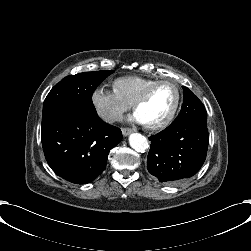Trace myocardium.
Wrapping results in <instances>:
<instances>
[{"mask_svg": "<svg viewBox=\"0 0 251 251\" xmlns=\"http://www.w3.org/2000/svg\"><path fill=\"white\" fill-rule=\"evenodd\" d=\"M172 83L175 85L176 89H177V101L176 104L174 106V108L172 109V111L169 113V115L166 117V119H164L161 122L155 123V124H147L143 122V125L146 129L148 130H160V129H164L166 127H168L172 121L174 120L175 116L177 115L178 111L180 110V107L182 105V101H183V87L182 84L178 81L172 80V79H157L155 80L153 83H151L149 86L146 87V89L143 91V93L141 94V96L136 100V102L134 103L133 107L134 110L137 112L138 109L144 105L148 99L150 98L152 92L162 83Z\"/></svg>", "mask_w": 251, "mask_h": 251, "instance_id": "myocardium-1", "label": "myocardium"}]
</instances>
